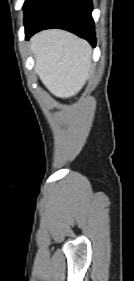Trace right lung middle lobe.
<instances>
[{
  "instance_id": "obj_1",
  "label": "right lung middle lobe",
  "mask_w": 134,
  "mask_h": 281,
  "mask_svg": "<svg viewBox=\"0 0 134 281\" xmlns=\"http://www.w3.org/2000/svg\"><path fill=\"white\" fill-rule=\"evenodd\" d=\"M37 0H26L24 3V12H25V18L29 15L30 11L32 10L33 6Z\"/></svg>"
}]
</instances>
